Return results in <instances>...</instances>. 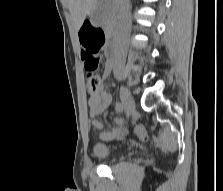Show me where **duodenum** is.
Here are the masks:
<instances>
[{
	"mask_svg": "<svg viewBox=\"0 0 223 191\" xmlns=\"http://www.w3.org/2000/svg\"><path fill=\"white\" fill-rule=\"evenodd\" d=\"M114 38H115V33L113 34ZM107 52H108V60L110 61L111 64L114 63V57H115V53H116V48H115V45L112 41H109V45H108V48H107Z\"/></svg>",
	"mask_w": 223,
	"mask_h": 191,
	"instance_id": "duodenum-1",
	"label": "duodenum"
}]
</instances>
